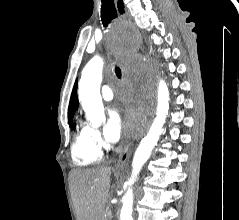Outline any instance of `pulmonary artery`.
Returning <instances> with one entry per match:
<instances>
[{"instance_id":"e3ab8cb5","label":"pulmonary artery","mask_w":239,"mask_h":220,"mask_svg":"<svg viewBox=\"0 0 239 220\" xmlns=\"http://www.w3.org/2000/svg\"><path fill=\"white\" fill-rule=\"evenodd\" d=\"M101 94H102V98H103L105 101H110V100H112L113 97H114L112 88H111L110 86H108V85H104V86L102 87Z\"/></svg>"}]
</instances>
